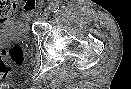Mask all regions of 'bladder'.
<instances>
[{
	"label": "bladder",
	"instance_id": "bladder-1",
	"mask_svg": "<svg viewBox=\"0 0 131 89\" xmlns=\"http://www.w3.org/2000/svg\"><path fill=\"white\" fill-rule=\"evenodd\" d=\"M26 26L17 20H12L10 24H0V41L4 37L26 35Z\"/></svg>",
	"mask_w": 131,
	"mask_h": 89
}]
</instances>
